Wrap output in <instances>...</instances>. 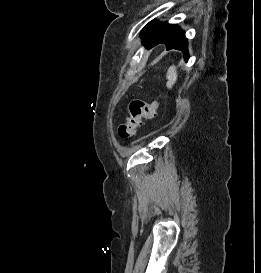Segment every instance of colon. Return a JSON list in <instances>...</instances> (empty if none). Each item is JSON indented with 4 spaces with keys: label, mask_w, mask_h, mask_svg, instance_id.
<instances>
[{
    "label": "colon",
    "mask_w": 261,
    "mask_h": 273,
    "mask_svg": "<svg viewBox=\"0 0 261 273\" xmlns=\"http://www.w3.org/2000/svg\"><path fill=\"white\" fill-rule=\"evenodd\" d=\"M159 100L145 102L140 99H133L128 105V116L118 126V135L121 139L127 140L133 137L144 120H152L157 115Z\"/></svg>",
    "instance_id": "1"
}]
</instances>
